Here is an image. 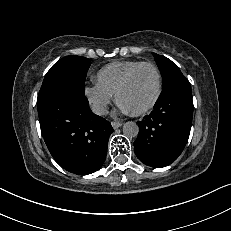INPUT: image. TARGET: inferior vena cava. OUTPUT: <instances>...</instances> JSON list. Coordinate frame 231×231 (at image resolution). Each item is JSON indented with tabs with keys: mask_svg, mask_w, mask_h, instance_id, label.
Segmentation results:
<instances>
[{
	"mask_svg": "<svg viewBox=\"0 0 231 231\" xmlns=\"http://www.w3.org/2000/svg\"><path fill=\"white\" fill-rule=\"evenodd\" d=\"M91 110L93 111V113H95L96 115H105L107 114V108L105 105L103 104H93L91 106Z\"/></svg>",
	"mask_w": 231,
	"mask_h": 231,
	"instance_id": "inferior-vena-cava-1",
	"label": "inferior vena cava"
}]
</instances>
